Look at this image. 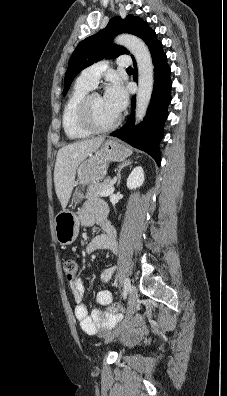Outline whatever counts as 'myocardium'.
I'll list each match as a JSON object with an SVG mask.
<instances>
[{
	"label": "myocardium",
	"mask_w": 227,
	"mask_h": 396,
	"mask_svg": "<svg viewBox=\"0 0 227 396\" xmlns=\"http://www.w3.org/2000/svg\"><path fill=\"white\" fill-rule=\"evenodd\" d=\"M98 94L99 93L95 91L88 92L81 100V103L79 105L80 122L86 129H88L92 133H104L111 131L116 128L121 122L120 116H117L114 121L107 125H100L96 122L92 113L91 102L93 97Z\"/></svg>",
	"instance_id": "myocardium-1"
}]
</instances>
